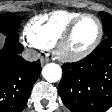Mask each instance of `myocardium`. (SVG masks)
Wrapping results in <instances>:
<instances>
[{"label":"myocardium","instance_id":"obj_1","mask_svg":"<svg viewBox=\"0 0 112 112\" xmlns=\"http://www.w3.org/2000/svg\"><path fill=\"white\" fill-rule=\"evenodd\" d=\"M85 17H92L96 20L98 24V33L94 41L88 46L85 50L77 52V53H68L64 50V46L68 39L70 38L74 28L76 25ZM103 37V24L99 17L92 13H82L74 20H72L68 26L63 30L60 36L57 38L53 45V52L54 54L61 60L68 61V62H76L80 61L87 56H89L100 44Z\"/></svg>","mask_w":112,"mask_h":112}]
</instances>
